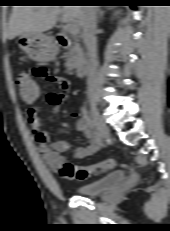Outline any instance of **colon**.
Wrapping results in <instances>:
<instances>
[{"label": "colon", "mask_w": 170, "mask_h": 231, "mask_svg": "<svg viewBox=\"0 0 170 231\" xmlns=\"http://www.w3.org/2000/svg\"><path fill=\"white\" fill-rule=\"evenodd\" d=\"M16 87L20 98L26 103L37 100L40 90L36 80L28 73H19L16 78ZM115 165L114 159H106L92 166H81L64 162L58 167L60 176L68 180H85L88 177L111 170Z\"/></svg>", "instance_id": "5ec220e1"}]
</instances>
